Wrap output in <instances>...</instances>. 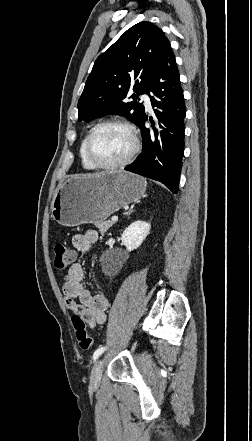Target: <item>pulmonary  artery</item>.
Masks as SVG:
<instances>
[{"mask_svg": "<svg viewBox=\"0 0 252 441\" xmlns=\"http://www.w3.org/2000/svg\"><path fill=\"white\" fill-rule=\"evenodd\" d=\"M142 100L144 101V104H145L146 108L148 110H151L152 107H151V102H150L149 96L147 94H143L142 95Z\"/></svg>", "mask_w": 252, "mask_h": 441, "instance_id": "1", "label": "pulmonary artery"}]
</instances>
